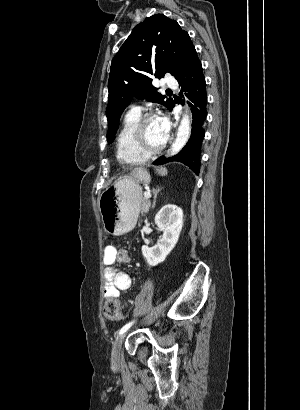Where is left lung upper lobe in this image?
I'll return each instance as SVG.
<instances>
[{"instance_id":"1","label":"left lung upper lobe","mask_w":300,"mask_h":410,"mask_svg":"<svg viewBox=\"0 0 300 410\" xmlns=\"http://www.w3.org/2000/svg\"><path fill=\"white\" fill-rule=\"evenodd\" d=\"M188 33L175 20L156 14L138 24L112 60L108 82L107 141L112 143L119 119L133 97L163 104L172 110L174 101L157 92L152 76L170 73L177 80L196 54Z\"/></svg>"}]
</instances>
